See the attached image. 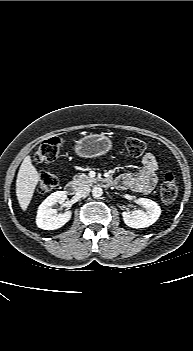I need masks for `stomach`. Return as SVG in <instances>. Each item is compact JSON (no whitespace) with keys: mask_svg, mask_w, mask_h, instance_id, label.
<instances>
[{"mask_svg":"<svg viewBox=\"0 0 193 351\" xmlns=\"http://www.w3.org/2000/svg\"><path fill=\"white\" fill-rule=\"evenodd\" d=\"M112 148V141L103 134H89L78 141L74 146V152L81 158L99 157Z\"/></svg>","mask_w":193,"mask_h":351,"instance_id":"obj_1","label":"stomach"}]
</instances>
